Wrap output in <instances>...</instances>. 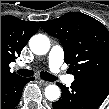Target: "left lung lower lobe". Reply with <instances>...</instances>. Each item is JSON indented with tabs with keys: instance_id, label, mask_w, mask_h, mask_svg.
Instances as JSON below:
<instances>
[{
	"instance_id": "left-lung-lower-lobe-1",
	"label": "left lung lower lobe",
	"mask_w": 109,
	"mask_h": 109,
	"mask_svg": "<svg viewBox=\"0 0 109 109\" xmlns=\"http://www.w3.org/2000/svg\"><path fill=\"white\" fill-rule=\"evenodd\" d=\"M58 86L62 95L52 103L53 109H97L109 95V89L80 80H74L70 88Z\"/></svg>"
}]
</instances>
